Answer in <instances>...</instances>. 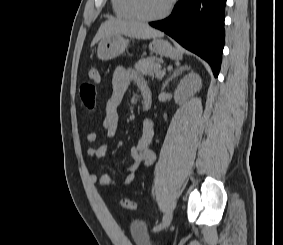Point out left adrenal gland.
Returning <instances> with one entry per match:
<instances>
[{
	"instance_id": "obj_1",
	"label": "left adrenal gland",
	"mask_w": 283,
	"mask_h": 245,
	"mask_svg": "<svg viewBox=\"0 0 283 245\" xmlns=\"http://www.w3.org/2000/svg\"><path fill=\"white\" fill-rule=\"evenodd\" d=\"M189 67L186 66H181V67H177V69H175L172 73V75L164 82L163 86H162V90H164L167 85L169 84L170 81H172V79H174L175 77H177L179 74H181L183 71L188 70Z\"/></svg>"
}]
</instances>
